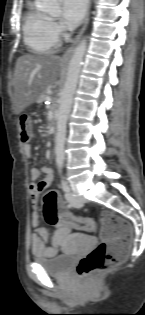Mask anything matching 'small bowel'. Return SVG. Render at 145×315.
<instances>
[{
	"mask_svg": "<svg viewBox=\"0 0 145 315\" xmlns=\"http://www.w3.org/2000/svg\"><path fill=\"white\" fill-rule=\"evenodd\" d=\"M23 150L27 156H31L32 147L29 143L23 145ZM44 177L40 179L41 175ZM31 183L29 184V195L32 205L36 208L39 201V195L44 192L53 180L52 171L49 167H33L30 170ZM32 226L35 232L31 235V251L37 257H54L57 255L64 238L71 231L72 226L64 221L55 225V233L51 237L52 245L47 246L46 242L50 238L48 229L40 226L39 212L35 210L31 217Z\"/></svg>",
	"mask_w": 145,
	"mask_h": 315,
	"instance_id": "1",
	"label": "small bowel"
}]
</instances>
